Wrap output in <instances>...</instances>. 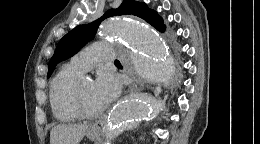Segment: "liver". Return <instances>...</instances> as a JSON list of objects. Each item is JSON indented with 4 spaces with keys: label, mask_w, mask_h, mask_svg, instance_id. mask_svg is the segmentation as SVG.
<instances>
[{
    "label": "liver",
    "mask_w": 260,
    "mask_h": 144,
    "mask_svg": "<svg viewBox=\"0 0 260 144\" xmlns=\"http://www.w3.org/2000/svg\"><path fill=\"white\" fill-rule=\"evenodd\" d=\"M87 129L85 124L57 125L50 132V144H79Z\"/></svg>",
    "instance_id": "1"
}]
</instances>
